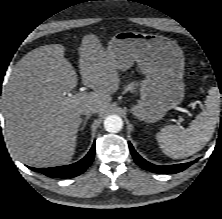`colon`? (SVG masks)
I'll use <instances>...</instances> for the list:
<instances>
[{
  "mask_svg": "<svg viewBox=\"0 0 222 219\" xmlns=\"http://www.w3.org/2000/svg\"><path fill=\"white\" fill-rule=\"evenodd\" d=\"M189 75H190L191 77H194V76H195V69H194V68H191V69H190Z\"/></svg>",
  "mask_w": 222,
  "mask_h": 219,
  "instance_id": "5ec220e1",
  "label": "colon"
}]
</instances>
